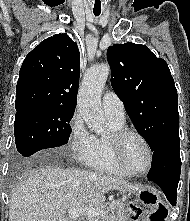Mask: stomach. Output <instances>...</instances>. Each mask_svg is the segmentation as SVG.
I'll list each match as a JSON object with an SVG mask.
<instances>
[{"instance_id":"1","label":"stomach","mask_w":190,"mask_h":221,"mask_svg":"<svg viewBox=\"0 0 190 221\" xmlns=\"http://www.w3.org/2000/svg\"><path fill=\"white\" fill-rule=\"evenodd\" d=\"M132 192L136 200L123 201L124 213H130V217H170V212L154 189L145 187ZM120 221H168V218H120Z\"/></svg>"}]
</instances>
